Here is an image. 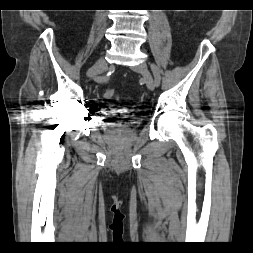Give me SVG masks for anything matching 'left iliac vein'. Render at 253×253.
<instances>
[{"mask_svg": "<svg viewBox=\"0 0 253 253\" xmlns=\"http://www.w3.org/2000/svg\"><path fill=\"white\" fill-rule=\"evenodd\" d=\"M133 69L143 76L144 82L149 90L155 89L153 77L148 69L146 62H140L133 67Z\"/></svg>", "mask_w": 253, "mask_h": 253, "instance_id": "obj_1", "label": "left iliac vein"}]
</instances>
